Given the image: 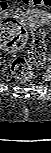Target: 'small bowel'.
Returning a JSON list of instances; mask_svg holds the SVG:
<instances>
[{
  "label": "small bowel",
  "mask_w": 51,
  "mask_h": 153,
  "mask_svg": "<svg viewBox=\"0 0 51 153\" xmlns=\"http://www.w3.org/2000/svg\"><path fill=\"white\" fill-rule=\"evenodd\" d=\"M2 4L4 5L5 8H8L7 2L3 1Z\"/></svg>",
  "instance_id": "obj_1"
}]
</instances>
